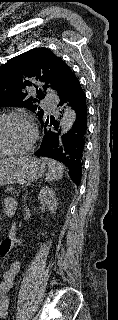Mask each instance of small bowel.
<instances>
[{
    "mask_svg": "<svg viewBox=\"0 0 118 320\" xmlns=\"http://www.w3.org/2000/svg\"><path fill=\"white\" fill-rule=\"evenodd\" d=\"M2 203L4 206L5 213L11 214L13 212V209L15 208L14 199L11 197H4L2 199ZM13 245H14V242H12L11 248ZM20 268H21V264L19 262H15L11 264L2 274L1 281H0V318H4L8 314V310L10 306V298H9L8 292L14 284L15 278L19 273Z\"/></svg>",
    "mask_w": 118,
    "mask_h": 320,
    "instance_id": "obj_1",
    "label": "small bowel"
}]
</instances>
